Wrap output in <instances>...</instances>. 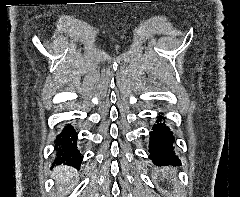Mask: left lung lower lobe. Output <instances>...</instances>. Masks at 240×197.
<instances>
[{"label": "left lung lower lobe", "mask_w": 240, "mask_h": 197, "mask_svg": "<svg viewBox=\"0 0 240 197\" xmlns=\"http://www.w3.org/2000/svg\"><path fill=\"white\" fill-rule=\"evenodd\" d=\"M160 119H162L161 116L150 133V159L157 165L180 164V160L173 151L174 137L172 132L168 127L164 126V123L161 124Z\"/></svg>", "instance_id": "left-lung-lower-lobe-1"}]
</instances>
